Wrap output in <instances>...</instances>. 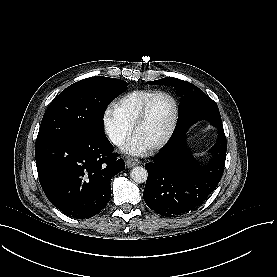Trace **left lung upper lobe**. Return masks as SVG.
Instances as JSON below:
<instances>
[{
  "mask_svg": "<svg viewBox=\"0 0 277 277\" xmlns=\"http://www.w3.org/2000/svg\"><path fill=\"white\" fill-rule=\"evenodd\" d=\"M147 83L172 86L175 88L177 94L181 96L176 127L166 145L183 136L189 127L199 120H208L216 127H223L217 104L193 84L172 77L149 81ZM210 151L214 154V157L221 156L219 149L212 148ZM184 164L189 167L199 165L193 158H190Z\"/></svg>",
  "mask_w": 277,
  "mask_h": 277,
  "instance_id": "1",
  "label": "left lung upper lobe"
}]
</instances>
